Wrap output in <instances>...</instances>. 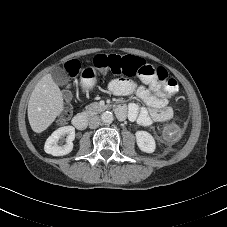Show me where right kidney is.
<instances>
[{
  "label": "right kidney",
  "mask_w": 227,
  "mask_h": 227,
  "mask_svg": "<svg viewBox=\"0 0 227 227\" xmlns=\"http://www.w3.org/2000/svg\"><path fill=\"white\" fill-rule=\"evenodd\" d=\"M66 136V144L60 146L58 141ZM75 139V128L73 126H64L55 130L45 142L44 150L53 156H64L73 150L72 141Z\"/></svg>",
  "instance_id": "obj_1"
}]
</instances>
